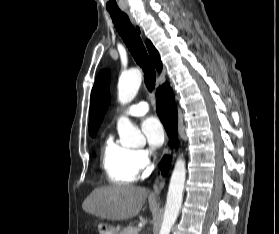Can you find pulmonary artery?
<instances>
[{
    "mask_svg": "<svg viewBox=\"0 0 279 234\" xmlns=\"http://www.w3.org/2000/svg\"><path fill=\"white\" fill-rule=\"evenodd\" d=\"M148 110H149L148 103L146 101H140L130 105L126 109L125 114L128 116H142L146 114Z\"/></svg>",
    "mask_w": 279,
    "mask_h": 234,
    "instance_id": "e3ab8cb5",
    "label": "pulmonary artery"
}]
</instances>
